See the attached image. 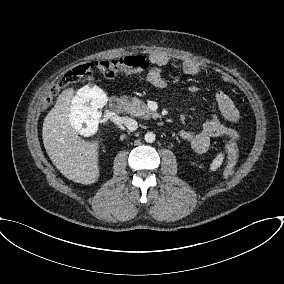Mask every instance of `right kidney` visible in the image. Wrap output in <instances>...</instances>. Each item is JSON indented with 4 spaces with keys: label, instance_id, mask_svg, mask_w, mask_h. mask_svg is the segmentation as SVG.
Segmentation results:
<instances>
[{
    "label": "right kidney",
    "instance_id": "obj_1",
    "mask_svg": "<svg viewBox=\"0 0 284 284\" xmlns=\"http://www.w3.org/2000/svg\"><path fill=\"white\" fill-rule=\"evenodd\" d=\"M103 107L107 103L105 92L97 86L86 85L80 88L73 99L70 123L74 130L85 137L94 135L98 130L100 116L88 103Z\"/></svg>",
    "mask_w": 284,
    "mask_h": 284
}]
</instances>
